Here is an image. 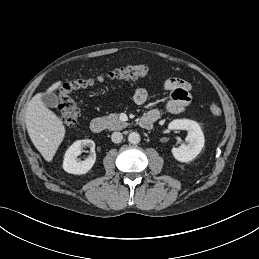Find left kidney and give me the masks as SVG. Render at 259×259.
Masks as SVG:
<instances>
[{
  "label": "left kidney",
  "instance_id": "5707ae66",
  "mask_svg": "<svg viewBox=\"0 0 259 259\" xmlns=\"http://www.w3.org/2000/svg\"><path fill=\"white\" fill-rule=\"evenodd\" d=\"M168 127L171 130H186L188 132L186 137L188 144H182L178 148L172 149L174 158L180 162H188L197 157L205 143L199 124L189 119H177L172 121Z\"/></svg>",
  "mask_w": 259,
  "mask_h": 259
}]
</instances>
